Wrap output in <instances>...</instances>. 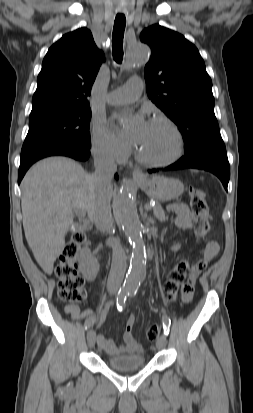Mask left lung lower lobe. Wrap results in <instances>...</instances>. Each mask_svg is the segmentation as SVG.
Masks as SVG:
<instances>
[{
	"label": "left lung lower lobe",
	"mask_w": 253,
	"mask_h": 413,
	"mask_svg": "<svg viewBox=\"0 0 253 413\" xmlns=\"http://www.w3.org/2000/svg\"><path fill=\"white\" fill-rule=\"evenodd\" d=\"M186 168L203 169L215 174L227 190L230 178V165L227 158L226 149L212 150L205 156L194 159L182 157L176 163L168 166L165 170H178ZM159 169L149 170V173L157 172Z\"/></svg>",
	"instance_id": "0a47b994"
}]
</instances>
